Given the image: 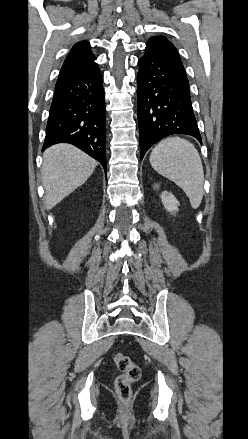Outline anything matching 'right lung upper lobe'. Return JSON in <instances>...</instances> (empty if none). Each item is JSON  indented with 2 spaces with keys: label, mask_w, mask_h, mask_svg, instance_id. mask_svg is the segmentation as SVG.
<instances>
[{
  "label": "right lung upper lobe",
  "mask_w": 248,
  "mask_h": 439,
  "mask_svg": "<svg viewBox=\"0 0 248 439\" xmlns=\"http://www.w3.org/2000/svg\"><path fill=\"white\" fill-rule=\"evenodd\" d=\"M95 59V56L90 51L88 41L76 43L63 63L57 82L93 66L96 64L94 62Z\"/></svg>",
  "instance_id": "obj_1"
}]
</instances>
